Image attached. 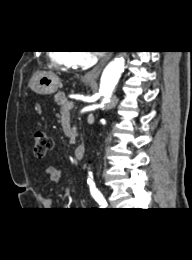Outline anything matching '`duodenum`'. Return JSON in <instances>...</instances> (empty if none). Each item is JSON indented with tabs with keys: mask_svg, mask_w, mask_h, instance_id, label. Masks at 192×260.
<instances>
[{
	"mask_svg": "<svg viewBox=\"0 0 192 260\" xmlns=\"http://www.w3.org/2000/svg\"><path fill=\"white\" fill-rule=\"evenodd\" d=\"M85 152H86V145L82 143L75 148L74 155L77 159H82L85 155Z\"/></svg>",
	"mask_w": 192,
	"mask_h": 260,
	"instance_id": "duodenum-1",
	"label": "duodenum"
}]
</instances>
